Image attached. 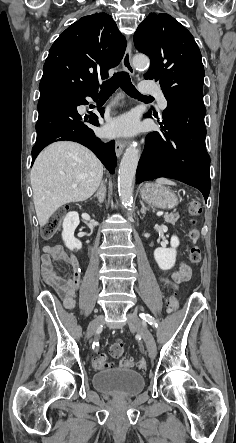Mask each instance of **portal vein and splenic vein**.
I'll list each match as a JSON object with an SVG mask.
<instances>
[{
    "instance_id": "portal-vein-and-splenic-vein-1",
    "label": "portal vein and splenic vein",
    "mask_w": 236,
    "mask_h": 443,
    "mask_svg": "<svg viewBox=\"0 0 236 443\" xmlns=\"http://www.w3.org/2000/svg\"><path fill=\"white\" fill-rule=\"evenodd\" d=\"M72 187H73V188H76L77 185H72ZM157 215H158V216H161V215H163V212H158Z\"/></svg>"
}]
</instances>
